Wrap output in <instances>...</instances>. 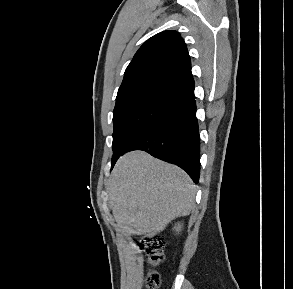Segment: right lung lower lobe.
<instances>
[{"label": "right lung lower lobe", "instance_id": "obj_1", "mask_svg": "<svg viewBox=\"0 0 293 289\" xmlns=\"http://www.w3.org/2000/svg\"><path fill=\"white\" fill-rule=\"evenodd\" d=\"M132 150L146 151L179 166L197 184L200 177V138L195 98L160 117L114 154L112 167L120 155Z\"/></svg>", "mask_w": 293, "mask_h": 289}]
</instances>
